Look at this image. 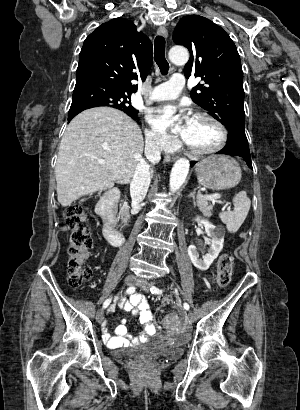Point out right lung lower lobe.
Returning <instances> with one entry per match:
<instances>
[{
	"label": "right lung lower lobe",
	"mask_w": 300,
	"mask_h": 410,
	"mask_svg": "<svg viewBox=\"0 0 300 410\" xmlns=\"http://www.w3.org/2000/svg\"><path fill=\"white\" fill-rule=\"evenodd\" d=\"M77 114H73V115H68V122L71 121V119L76 116ZM131 117V116H130ZM133 119H135L136 117H132Z\"/></svg>",
	"instance_id": "obj_1"
}]
</instances>
